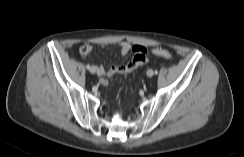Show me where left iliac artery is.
Masks as SVG:
<instances>
[{
    "label": "left iliac artery",
    "instance_id": "left-iliac-artery-1",
    "mask_svg": "<svg viewBox=\"0 0 244 157\" xmlns=\"http://www.w3.org/2000/svg\"><path fill=\"white\" fill-rule=\"evenodd\" d=\"M155 74H158V71L157 70L155 71Z\"/></svg>",
    "mask_w": 244,
    "mask_h": 157
}]
</instances>
